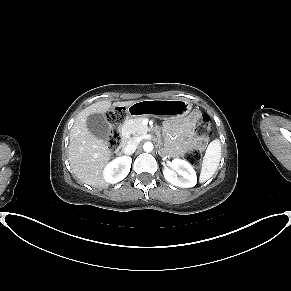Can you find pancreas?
<instances>
[{"mask_svg": "<svg viewBox=\"0 0 291 291\" xmlns=\"http://www.w3.org/2000/svg\"><path fill=\"white\" fill-rule=\"evenodd\" d=\"M143 117H138L132 120H129L122 127V133L125 135L132 134L134 136H140L147 132L148 127L143 124Z\"/></svg>", "mask_w": 291, "mask_h": 291, "instance_id": "1", "label": "pancreas"}]
</instances>
